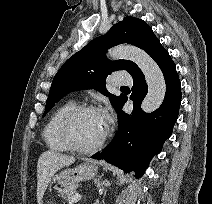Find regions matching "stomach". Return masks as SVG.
<instances>
[{
	"label": "stomach",
	"instance_id": "obj_1",
	"mask_svg": "<svg viewBox=\"0 0 212 204\" xmlns=\"http://www.w3.org/2000/svg\"><path fill=\"white\" fill-rule=\"evenodd\" d=\"M98 172V166L95 162H85L75 168H67L55 175V180L60 185L70 186L94 178Z\"/></svg>",
	"mask_w": 212,
	"mask_h": 204
}]
</instances>
